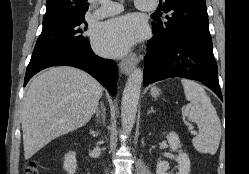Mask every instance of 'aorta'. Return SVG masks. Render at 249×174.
I'll return each mask as SVG.
<instances>
[{
    "label": "aorta",
    "instance_id": "1",
    "mask_svg": "<svg viewBox=\"0 0 249 174\" xmlns=\"http://www.w3.org/2000/svg\"><path fill=\"white\" fill-rule=\"evenodd\" d=\"M143 71L135 68L126 82L121 102V124L126 133L133 128L141 92Z\"/></svg>",
    "mask_w": 249,
    "mask_h": 174
}]
</instances>
